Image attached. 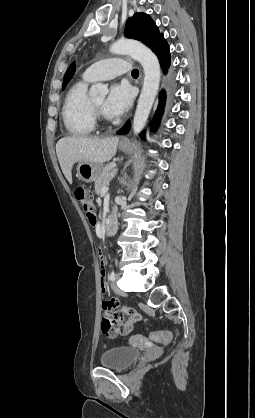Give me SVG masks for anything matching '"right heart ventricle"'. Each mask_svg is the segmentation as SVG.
<instances>
[{"instance_id": "e07e8e85", "label": "right heart ventricle", "mask_w": 255, "mask_h": 418, "mask_svg": "<svg viewBox=\"0 0 255 418\" xmlns=\"http://www.w3.org/2000/svg\"><path fill=\"white\" fill-rule=\"evenodd\" d=\"M91 81L83 77L68 90L62 107V117L67 131L74 136H87L95 130L91 100L87 93Z\"/></svg>"}]
</instances>
